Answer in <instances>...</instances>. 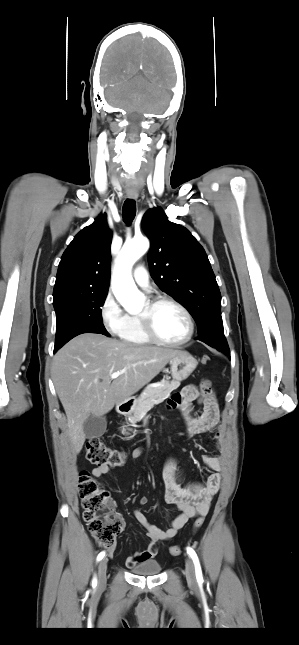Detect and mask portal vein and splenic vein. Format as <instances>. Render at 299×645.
Returning <instances> with one entry per match:
<instances>
[{
	"instance_id": "portal-vein-and-splenic-vein-1",
	"label": "portal vein and splenic vein",
	"mask_w": 299,
	"mask_h": 645,
	"mask_svg": "<svg viewBox=\"0 0 299 645\" xmlns=\"http://www.w3.org/2000/svg\"><path fill=\"white\" fill-rule=\"evenodd\" d=\"M123 372H124V371L114 372V373H112V374H111V378H112V379H115V378L119 377L121 374H123Z\"/></svg>"
}]
</instances>
